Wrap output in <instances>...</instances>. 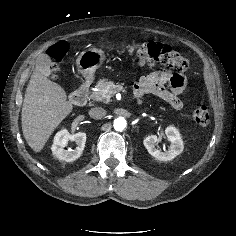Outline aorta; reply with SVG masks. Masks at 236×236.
<instances>
[{"label":"aorta","instance_id":"762f6f07","mask_svg":"<svg viewBox=\"0 0 236 236\" xmlns=\"http://www.w3.org/2000/svg\"><path fill=\"white\" fill-rule=\"evenodd\" d=\"M127 126L126 119L124 117H118L114 120V129L116 131H123Z\"/></svg>","mask_w":236,"mask_h":236}]
</instances>
